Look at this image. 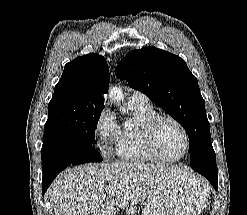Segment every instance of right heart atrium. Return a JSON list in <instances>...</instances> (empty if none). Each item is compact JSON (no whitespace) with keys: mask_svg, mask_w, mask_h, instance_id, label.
I'll return each mask as SVG.
<instances>
[{"mask_svg":"<svg viewBox=\"0 0 247 215\" xmlns=\"http://www.w3.org/2000/svg\"><path fill=\"white\" fill-rule=\"evenodd\" d=\"M118 130L115 117L107 108H103L96 118L94 131L98 138L99 149L104 155L111 153L112 144L118 136Z\"/></svg>","mask_w":247,"mask_h":215,"instance_id":"right-heart-atrium-1","label":"right heart atrium"}]
</instances>
